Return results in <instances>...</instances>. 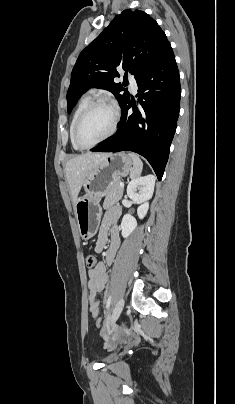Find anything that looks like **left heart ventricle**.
<instances>
[{
    "instance_id": "1",
    "label": "left heart ventricle",
    "mask_w": 235,
    "mask_h": 404,
    "mask_svg": "<svg viewBox=\"0 0 235 404\" xmlns=\"http://www.w3.org/2000/svg\"><path fill=\"white\" fill-rule=\"evenodd\" d=\"M113 122V111L107 106H98L92 109L84 118L80 130L79 138L83 144H92L110 130Z\"/></svg>"
}]
</instances>
